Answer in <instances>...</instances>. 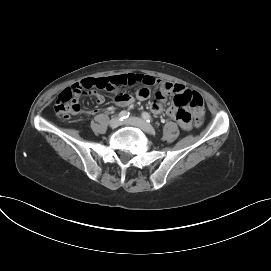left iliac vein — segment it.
Returning a JSON list of instances; mask_svg holds the SVG:
<instances>
[{
  "mask_svg": "<svg viewBox=\"0 0 271 271\" xmlns=\"http://www.w3.org/2000/svg\"><path fill=\"white\" fill-rule=\"evenodd\" d=\"M124 124L138 127L140 129H142L144 132L149 133V134L155 133L154 128L149 123H147L145 120H143L141 118L130 117L129 119L124 121Z\"/></svg>",
  "mask_w": 271,
  "mask_h": 271,
  "instance_id": "obj_1",
  "label": "left iliac vein"
}]
</instances>
